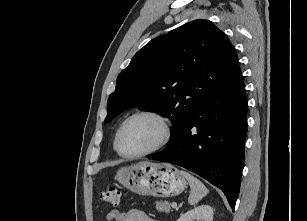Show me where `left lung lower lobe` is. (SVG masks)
Instances as JSON below:
<instances>
[{
  "label": "left lung lower lobe",
  "instance_id": "left-lung-lower-lobe-1",
  "mask_svg": "<svg viewBox=\"0 0 307 221\" xmlns=\"http://www.w3.org/2000/svg\"><path fill=\"white\" fill-rule=\"evenodd\" d=\"M247 99L239 64L149 159L182 166L220 188L234 209L245 156Z\"/></svg>",
  "mask_w": 307,
  "mask_h": 221
}]
</instances>
